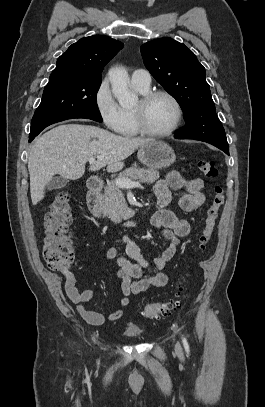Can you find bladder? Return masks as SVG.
Segmentation results:
<instances>
[{
    "mask_svg": "<svg viewBox=\"0 0 265 407\" xmlns=\"http://www.w3.org/2000/svg\"><path fill=\"white\" fill-rule=\"evenodd\" d=\"M142 329L137 325H127L124 329V335L130 338H137L142 335Z\"/></svg>",
    "mask_w": 265,
    "mask_h": 407,
    "instance_id": "bladder-1",
    "label": "bladder"
}]
</instances>
